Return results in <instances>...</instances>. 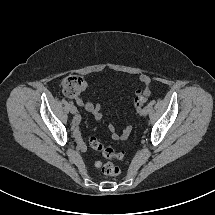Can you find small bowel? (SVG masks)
<instances>
[{
  "mask_svg": "<svg viewBox=\"0 0 215 215\" xmlns=\"http://www.w3.org/2000/svg\"><path fill=\"white\" fill-rule=\"evenodd\" d=\"M139 81L142 84L148 86L150 84V77L146 74H142L139 76ZM86 86H87V84L84 82L83 90L86 89ZM75 100H76V103L81 108H83L86 112L92 114L94 116V118H96L97 120H100L102 118L103 113H102V108L100 105L94 104L92 102H83L80 98H76ZM75 120H76V123L78 124L80 121V118L77 117ZM131 131H132L131 125H127L121 133H118L113 126L109 127V132L111 134V137L114 140H124V139L128 138Z\"/></svg>",
  "mask_w": 215,
  "mask_h": 215,
  "instance_id": "small-bowel-1",
  "label": "small bowel"
}]
</instances>
